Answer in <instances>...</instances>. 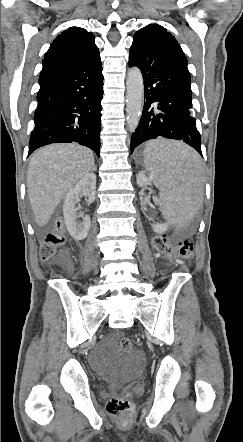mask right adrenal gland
<instances>
[{
  "label": "right adrenal gland",
  "mask_w": 243,
  "mask_h": 442,
  "mask_svg": "<svg viewBox=\"0 0 243 442\" xmlns=\"http://www.w3.org/2000/svg\"><path fill=\"white\" fill-rule=\"evenodd\" d=\"M92 170L95 171V170H96V167L94 166Z\"/></svg>",
  "instance_id": "right-adrenal-gland-1"
}]
</instances>
